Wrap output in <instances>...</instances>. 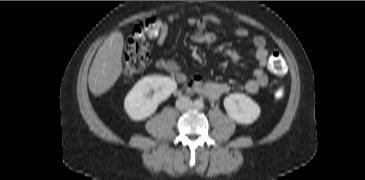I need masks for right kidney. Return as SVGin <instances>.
<instances>
[{
    "instance_id": "right-kidney-1",
    "label": "right kidney",
    "mask_w": 365,
    "mask_h": 180,
    "mask_svg": "<svg viewBox=\"0 0 365 180\" xmlns=\"http://www.w3.org/2000/svg\"><path fill=\"white\" fill-rule=\"evenodd\" d=\"M177 89L175 80L167 76H146L139 80L124 100V109L135 121L151 116L158 105Z\"/></svg>"
}]
</instances>
